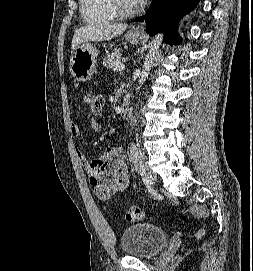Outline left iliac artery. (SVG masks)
<instances>
[{
    "instance_id": "obj_1",
    "label": "left iliac artery",
    "mask_w": 253,
    "mask_h": 271,
    "mask_svg": "<svg viewBox=\"0 0 253 271\" xmlns=\"http://www.w3.org/2000/svg\"><path fill=\"white\" fill-rule=\"evenodd\" d=\"M131 158L133 161V164L135 166V169L138 173L143 172V165L141 162V153L137 147V144L132 142L131 144Z\"/></svg>"
}]
</instances>
